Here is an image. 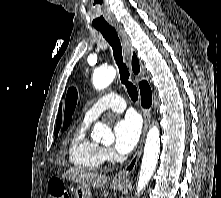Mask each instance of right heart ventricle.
I'll use <instances>...</instances> for the list:
<instances>
[{"mask_svg":"<svg viewBox=\"0 0 221 198\" xmlns=\"http://www.w3.org/2000/svg\"><path fill=\"white\" fill-rule=\"evenodd\" d=\"M89 123L83 121L73 132L68 144V156L76 168L93 171L99 169L105 159L102 147L87 136Z\"/></svg>","mask_w":221,"mask_h":198,"instance_id":"1","label":"right heart ventricle"}]
</instances>
